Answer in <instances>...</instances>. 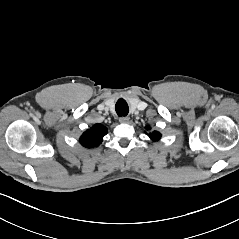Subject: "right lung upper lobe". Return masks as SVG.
<instances>
[{"label": "right lung upper lobe", "instance_id": "right-lung-upper-lobe-1", "mask_svg": "<svg viewBox=\"0 0 239 239\" xmlns=\"http://www.w3.org/2000/svg\"><path fill=\"white\" fill-rule=\"evenodd\" d=\"M107 134V129L101 124H95L80 137V143L84 147L92 148L101 144L103 137Z\"/></svg>", "mask_w": 239, "mask_h": 239}]
</instances>
